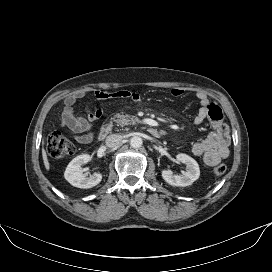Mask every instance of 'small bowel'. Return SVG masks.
Wrapping results in <instances>:
<instances>
[{"label":"small bowel","instance_id":"small-bowel-1","mask_svg":"<svg viewBox=\"0 0 272 272\" xmlns=\"http://www.w3.org/2000/svg\"><path fill=\"white\" fill-rule=\"evenodd\" d=\"M174 97H181L184 95V90L181 88H174L171 91ZM86 94L78 92L67 96L64 100V105L61 113L62 125L73 134L76 141L86 144L92 141L93 125L102 116V107L98 106L94 111L86 106V115L79 116L74 112L75 103L84 99ZM93 97L98 102H103L113 98H125L132 101H139L140 95L137 92L129 90H119L116 92L95 91ZM196 97L200 103V109L195 116L194 122L197 125L208 121L212 130L208 136L196 143L191 147L193 154L201 156L203 162L207 166H215L223 159L229 156V130L228 127L222 122V110L216 104L210 102L206 95L202 92H197Z\"/></svg>","mask_w":272,"mask_h":272}]
</instances>
